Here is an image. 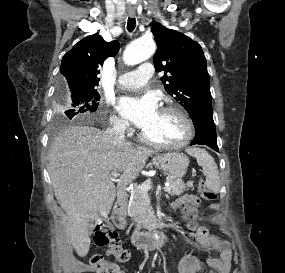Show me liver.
<instances>
[{"label":"liver","mask_w":285,"mask_h":273,"mask_svg":"<svg viewBox=\"0 0 285 273\" xmlns=\"http://www.w3.org/2000/svg\"><path fill=\"white\" fill-rule=\"evenodd\" d=\"M152 154L130 142H115L90 126H68L54 139L48 155L49 174L55 197L68 216L67 234L78 256L89 252L92 224L88 221L106 217L116 196L125 200V187ZM112 170L122 173L117 189Z\"/></svg>","instance_id":"obj_1"}]
</instances>
